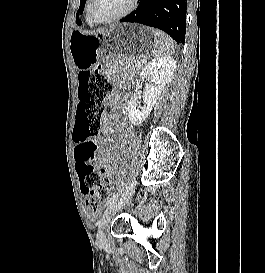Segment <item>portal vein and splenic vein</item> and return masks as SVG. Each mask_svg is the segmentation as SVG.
I'll return each instance as SVG.
<instances>
[{
    "label": "portal vein and splenic vein",
    "mask_w": 265,
    "mask_h": 273,
    "mask_svg": "<svg viewBox=\"0 0 265 273\" xmlns=\"http://www.w3.org/2000/svg\"><path fill=\"white\" fill-rule=\"evenodd\" d=\"M147 59H148L147 56H144V60L147 61Z\"/></svg>",
    "instance_id": "1"
}]
</instances>
